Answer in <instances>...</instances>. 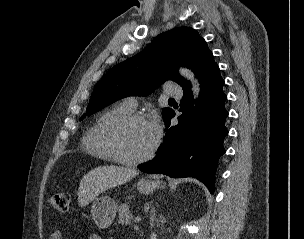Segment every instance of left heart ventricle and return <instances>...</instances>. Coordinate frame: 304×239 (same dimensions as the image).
I'll return each instance as SVG.
<instances>
[{
  "label": "left heart ventricle",
  "mask_w": 304,
  "mask_h": 239,
  "mask_svg": "<svg viewBox=\"0 0 304 239\" xmlns=\"http://www.w3.org/2000/svg\"><path fill=\"white\" fill-rule=\"evenodd\" d=\"M154 137L148 122H133L125 126L118 134V147L127 158H135L145 154L151 147Z\"/></svg>",
  "instance_id": "b2bd125f"
}]
</instances>
